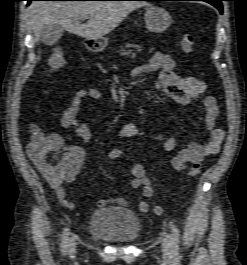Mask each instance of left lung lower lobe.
Instances as JSON below:
<instances>
[{
	"label": "left lung lower lobe",
	"instance_id": "1",
	"mask_svg": "<svg viewBox=\"0 0 247 265\" xmlns=\"http://www.w3.org/2000/svg\"><path fill=\"white\" fill-rule=\"evenodd\" d=\"M145 1H179V0H145ZM186 1H204L215 6L220 11L221 14L223 13L221 1H216V0H186Z\"/></svg>",
	"mask_w": 247,
	"mask_h": 265
}]
</instances>
